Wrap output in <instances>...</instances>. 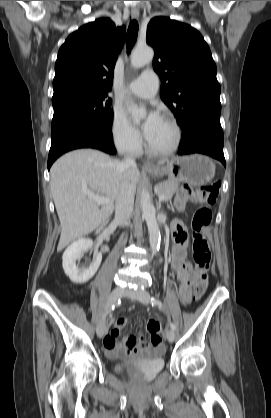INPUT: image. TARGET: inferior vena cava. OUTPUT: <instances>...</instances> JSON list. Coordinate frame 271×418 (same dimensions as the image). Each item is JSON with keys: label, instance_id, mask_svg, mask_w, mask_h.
<instances>
[{"label": "inferior vena cava", "instance_id": "inferior-vena-cava-1", "mask_svg": "<svg viewBox=\"0 0 271 418\" xmlns=\"http://www.w3.org/2000/svg\"><path fill=\"white\" fill-rule=\"evenodd\" d=\"M126 167L136 165L135 160L126 158L124 161ZM134 207V192L127 186L120 189L119 195L116 199L115 206V221L119 225H126L129 222Z\"/></svg>", "mask_w": 271, "mask_h": 418}]
</instances>
